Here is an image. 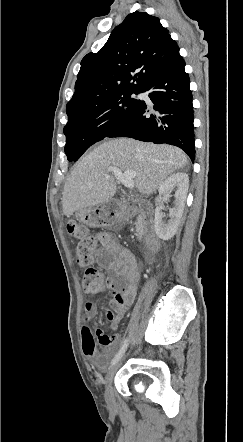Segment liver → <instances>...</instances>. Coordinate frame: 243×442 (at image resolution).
Segmentation results:
<instances>
[{"label":"liver","mask_w":243,"mask_h":442,"mask_svg":"<svg viewBox=\"0 0 243 442\" xmlns=\"http://www.w3.org/2000/svg\"><path fill=\"white\" fill-rule=\"evenodd\" d=\"M188 163L186 154L170 145H155L134 139L106 141L85 155L72 170L63 190V213L101 205L116 193V182L107 168L136 172L137 190L150 195L173 172ZM107 175V176H106Z\"/></svg>","instance_id":"1"}]
</instances>
